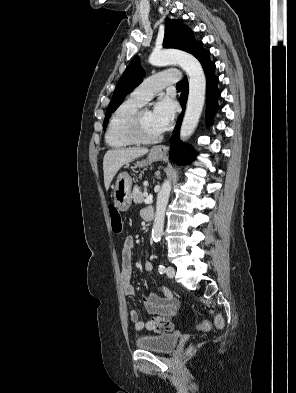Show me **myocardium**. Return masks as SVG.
<instances>
[{"label":"myocardium","mask_w":296,"mask_h":393,"mask_svg":"<svg viewBox=\"0 0 296 393\" xmlns=\"http://www.w3.org/2000/svg\"><path fill=\"white\" fill-rule=\"evenodd\" d=\"M143 112H144L143 109L137 110L135 114L132 116V118L130 119L126 128L127 137L134 144L147 145V144L156 143L161 139L162 137L161 134H158L154 137H146L143 135L142 122H141V117Z\"/></svg>","instance_id":"obj_1"}]
</instances>
